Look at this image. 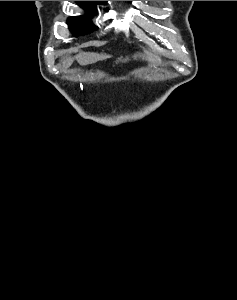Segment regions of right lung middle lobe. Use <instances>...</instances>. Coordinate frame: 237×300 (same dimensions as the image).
<instances>
[{
	"label": "right lung middle lobe",
	"mask_w": 237,
	"mask_h": 300,
	"mask_svg": "<svg viewBox=\"0 0 237 300\" xmlns=\"http://www.w3.org/2000/svg\"><path fill=\"white\" fill-rule=\"evenodd\" d=\"M82 8L88 11V16H76L70 17L67 20L69 29L74 33L79 35L91 33L96 30L97 27L91 23L90 17L95 13V5L89 1H77Z\"/></svg>",
	"instance_id": "obj_1"
}]
</instances>
